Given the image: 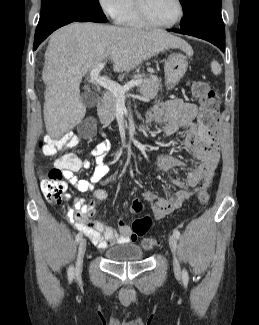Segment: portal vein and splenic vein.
Listing matches in <instances>:
<instances>
[{
  "label": "portal vein and splenic vein",
  "instance_id": "portal-vein-and-splenic-vein-1",
  "mask_svg": "<svg viewBox=\"0 0 259 325\" xmlns=\"http://www.w3.org/2000/svg\"><path fill=\"white\" fill-rule=\"evenodd\" d=\"M105 62L98 63L90 72L91 80L96 82L98 85L104 87L105 89L109 90L110 92L114 93L115 96L120 99H125V93L136 85H140L142 83L141 79L132 80L124 86L105 78L99 75L100 71L104 68Z\"/></svg>",
  "mask_w": 259,
  "mask_h": 325
}]
</instances>
